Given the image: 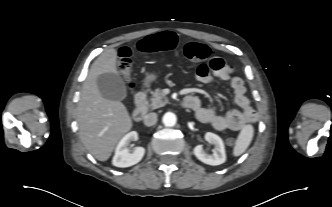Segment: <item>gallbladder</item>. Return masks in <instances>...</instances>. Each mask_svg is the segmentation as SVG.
Listing matches in <instances>:
<instances>
[{"label": "gallbladder", "instance_id": "gallbladder-1", "mask_svg": "<svg viewBox=\"0 0 332 207\" xmlns=\"http://www.w3.org/2000/svg\"><path fill=\"white\" fill-rule=\"evenodd\" d=\"M100 94L108 100L121 101L127 96V90L122 78L114 73H104L97 77Z\"/></svg>", "mask_w": 332, "mask_h": 207}]
</instances>
